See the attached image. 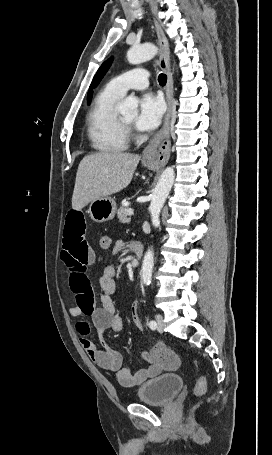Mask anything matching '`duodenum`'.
I'll list each match as a JSON object with an SVG mask.
<instances>
[{"label": "duodenum", "mask_w": 272, "mask_h": 455, "mask_svg": "<svg viewBox=\"0 0 272 455\" xmlns=\"http://www.w3.org/2000/svg\"><path fill=\"white\" fill-rule=\"evenodd\" d=\"M131 249L137 259H140L143 256V246L137 241L131 243Z\"/></svg>", "instance_id": "1"}]
</instances>
